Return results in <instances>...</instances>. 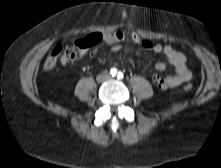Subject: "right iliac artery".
<instances>
[{
	"instance_id": "1",
	"label": "right iliac artery",
	"mask_w": 221,
	"mask_h": 168,
	"mask_svg": "<svg viewBox=\"0 0 221 168\" xmlns=\"http://www.w3.org/2000/svg\"><path fill=\"white\" fill-rule=\"evenodd\" d=\"M110 74H111L112 76H115V75L117 74V69H116V68H112V69L110 70Z\"/></svg>"
}]
</instances>
